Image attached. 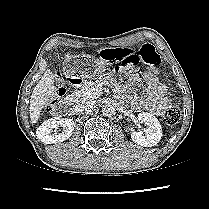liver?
<instances>
[{"label":"liver","mask_w":209,"mask_h":209,"mask_svg":"<svg viewBox=\"0 0 209 209\" xmlns=\"http://www.w3.org/2000/svg\"><path fill=\"white\" fill-rule=\"evenodd\" d=\"M55 79L54 73L47 69L32 92L30 118L33 124L38 122L42 109L50 105L51 101L57 96L58 88L55 86Z\"/></svg>","instance_id":"6515ba94"}]
</instances>
